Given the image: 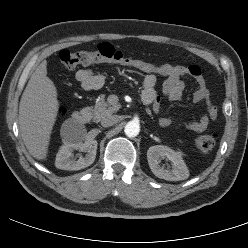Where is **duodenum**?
I'll use <instances>...</instances> for the list:
<instances>
[{
    "mask_svg": "<svg viewBox=\"0 0 248 248\" xmlns=\"http://www.w3.org/2000/svg\"><path fill=\"white\" fill-rule=\"evenodd\" d=\"M90 120V113L87 111H76L73 114V121L77 124L83 125Z\"/></svg>",
    "mask_w": 248,
    "mask_h": 248,
    "instance_id": "1",
    "label": "duodenum"
}]
</instances>
